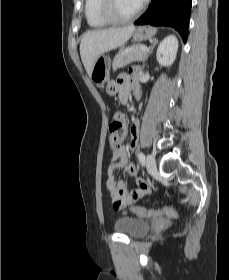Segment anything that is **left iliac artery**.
<instances>
[{
	"label": "left iliac artery",
	"instance_id": "left-iliac-artery-1",
	"mask_svg": "<svg viewBox=\"0 0 229 280\" xmlns=\"http://www.w3.org/2000/svg\"><path fill=\"white\" fill-rule=\"evenodd\" d=\"M138 159H139V162L141 163V165H144L145 163V155L143 152H139L138 153Z\"/></svg>",
	"mask_w": 229,
	"mask_h": 280
}]
</instances>
